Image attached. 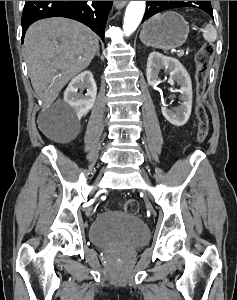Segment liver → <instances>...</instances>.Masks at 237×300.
<instances>
[{
  "instance_id": "obj_1",
  "label": "liver",
  "mask_w": 237,
  "mask_h": 300,
  "mask_svg": "<svg viewBox=\"0 0 237 300\" xmlns=\"http://www.w3.org/2000/svg\"><path fill=\"white\" fill-rule=\"evenodd\" d=\"M32 87L46 105L90 65L99 49L97 35L85 25L53 17L29 27L23 45Z\"/></svg>"
}]
</instances>
